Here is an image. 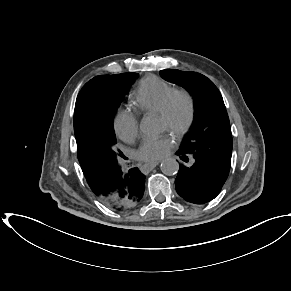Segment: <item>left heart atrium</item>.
I'll use <instances>...</instances> for the list:
<instances>
[{"instance_id":"39dd6f15","label":"left heart atrium","mask_w":291,"mask_h":291,"mask_svg":"<svg viewBox=\"0 0 291 291\" xmlns=\"http://www.w3.org/2000/svg\"><path fill=\"white\" fill-rule=\"evenodd\" d=\"M173 144L169 135L148 137L139 146L136 156L138 159L155 162L165 157Z\"/></svg>"}]
</instances>
